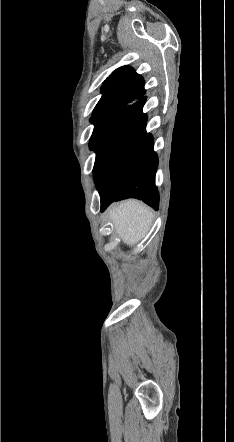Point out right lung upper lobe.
I'll use <instances>...</instances> for the list:
<instances>
[{
  "label": "right lung upper lobe",
  "instance_id": "cb5924a9",
  "mask_svg": "<svg viewBox=\"0 0 234 442\" xmlns=\"http://www.w3.org/2000/svg\"><path fill=\"white\" fill-rule=\"evenodd\" d=\"M145 81L131 67L116 69L101 87L102 97L95 106L93 116L118 114L142 98L146 92Z\"/></svg>",
  "mask_w": 234,
  "mask_h": 442
}]
</instances>
